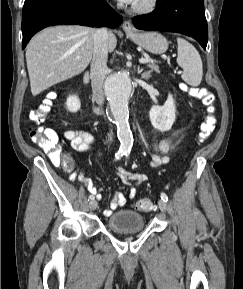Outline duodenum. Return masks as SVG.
<instances>
[{
    "label": "duodenum",
    "instance_id": "1",
    "mask_svg": "<svg viewBox=\"0 0 243 289\" xmlns=\"http://www.w3.org/2000/svg\"><path fill=\"white\" fill-rule=\"evenodd\" d=\"M89 83V74H85L84 76V84L87 85ZM95 111L97 113H101V110L99 107H95Z\"/></svg>",
    "mask_w": 243,
    "mask_h": 289
}]
</instances>
